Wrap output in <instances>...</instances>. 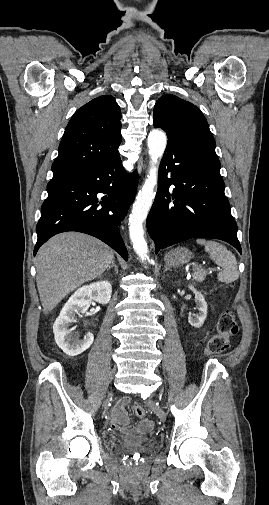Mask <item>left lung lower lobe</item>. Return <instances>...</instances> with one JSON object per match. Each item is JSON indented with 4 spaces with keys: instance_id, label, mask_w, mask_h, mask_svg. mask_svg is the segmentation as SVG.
Listing matches in <instances>:
<instances>
[{
    "instance_id": "left-lung-lower-lobe-1",
    "label": "left lung lower lobe",
    "mask_w": 269,
    "mask_h": 505,
    "mask_svg": "<svg viewBox=\"0 0 269 505\" xmlns=\"http://www.w3.org/2000/svg\"><path fill=\"white\" fill-rule=\"evenodd\" d=\"M166 133L158 191L147 217L155 252L191 238H213L241 253L215 147L181 133Z\"/></svg>"
}]
</instances>
